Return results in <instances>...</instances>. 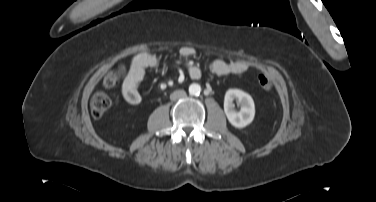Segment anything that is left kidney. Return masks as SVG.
I'll use <instances>...</instances> for the list:
<instances>
[{"label":"left kidney","mask_w":376,"mask_h":202,"mask_svg":"<svg viewBox=\"0 0 376 202\" xmlns=\"http://www.w3.org/2000/svg\"><path fill=\"white\" fill-rule=\"evenodd\" d=\"M241 105L240 111H236L233 101ZM224 112L229 122L236 128L249 125L255 116V105L252 97L239 89H229L224 97Z\"/></svg>","instance_id":"obj_1"}]
</instances>
